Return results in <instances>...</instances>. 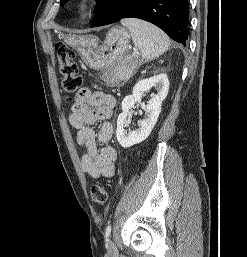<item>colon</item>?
Instances as JSON below:
<instances>
[{
    "mask_svg": "<svg viewBox=\"0 0 247 257\" xmlns=\"http://www.w3.org/2000/svg\"><path fill=\"white\" fill-rule=\"evenodd\" d=\"M74 52L65 45L57 46L58 71L61 86L67 96L78 92L83 79L78 74V66L74 62ZM91 198L97 204H104L108 199V191L103 185H94L91 188Z\"/></svg>",
    "mask_w": 247,
    "mask_h": 257,
    "instance_id": "colon-1",
    "label": "colon"
}]
</instances>
